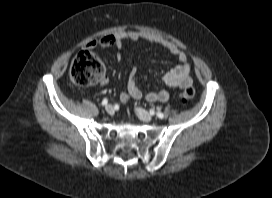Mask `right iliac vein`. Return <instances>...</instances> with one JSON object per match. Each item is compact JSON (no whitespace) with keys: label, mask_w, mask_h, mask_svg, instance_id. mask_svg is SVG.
Returning a JSON list of instances; mask_svg holds the SVG:
<instances>
[{"label":"right iliac vein","mask_w":272,"mask_h":198,"mask_svg":"<svg viewBox=\"0 0 272 198\" xmlns=\"http://www.w3.org/2000/svg\"><path fill=\"white\" fill-rule=\"evenodd\" d=\"M105 110H106V112H107L108 114H112L113 111H114V108H113L112 105L108 104V105H106Z\"/></svg>","instance_id":"right-iliac-vein-1"}]
</instances>
